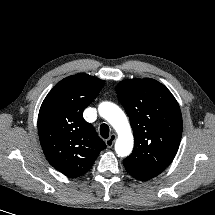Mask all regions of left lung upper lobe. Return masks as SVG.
<instances>
[{
    "label": "left lung upper lobe",
    "instance_id": "1",
    "mask_svg": "<svg viewBox=\"0 0 215 215\" xmlns=\"http://www.w3.org/2000/svg\"><path fill=\"white\" fill-rule=\"evenodd\" d=\"M129 116L135 146L123 164L134 178L146 181L173 161L182 136V115L172 93L154 79H127L116 87Z\"/></svg>",
    "mask_w": 215,
    "mask_h": 215
}]
</instances>
